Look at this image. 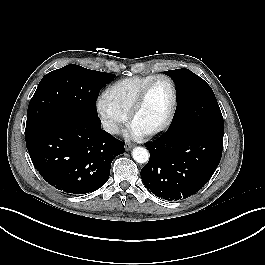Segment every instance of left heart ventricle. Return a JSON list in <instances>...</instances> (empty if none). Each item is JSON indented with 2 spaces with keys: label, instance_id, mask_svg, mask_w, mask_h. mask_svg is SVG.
<instances>
[{
  "label": "left heart ventricle",
  "instance_id": "obj_1",
  "mask_svg": "<svg viewBox=\"0 0 265 265\" xmlns=\"http://www.w3.org/2000/svg\"><path fill=\"white\" fill-rule=\"evenodd\" d=\"M172 103V89L167 80H157L150 88L145 103L132 126L141 133L159 126L166 118Z\"/></svg>",
  "mask_w": 265,
  "mask_h": 265
}]
</instances>
